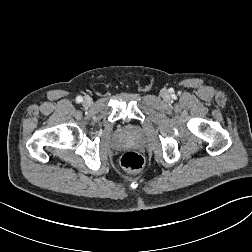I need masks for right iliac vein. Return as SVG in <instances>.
I'll return each mask as SVG.
<instances>
[{"mask_svg": "<svg viewBox=\"0 0 252 252\" xmlns=\"http://www.w3.org/2000/svg\"><path fill=\"white\" fill-rule=\"evenodd\" d=\"M92 103V100L89 96H86L84 97L83 101H82V104L85 106V107H88L90 106Z\"/></svg>", "mask_w": 252, "mask_h": 252, "instance_id": "1", "label": "right iliac vein"}]
</instances>
